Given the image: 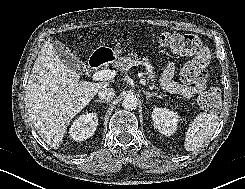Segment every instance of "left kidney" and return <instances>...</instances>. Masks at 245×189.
<instances>
[{"label":"left kidney","instance_id":"5707ae66","mask_svg":"<svg viewBox=\"0 0 245 189\" xmlns=\"http://www.w3.org/2000/svg\"><path fill=\"white\" fill-rule=\"evenodd\" d=\"M154 128L161 134L171 136L177 129L179 117L176 113L166 108H154L152 112Z\"/></svg>","mask_w":245,"mask_h":189}]
</instances>
